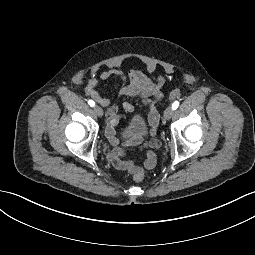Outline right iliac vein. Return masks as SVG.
Masks as SVG:
<instances>
[{
    "mask_svg": "<svg viewBox=\"0 0 255 255\" xmlns=\"http://www.w3.org/2000/svg\"><path fill=\"white\" fill-rule=\"evenodd\" d=\"M94 113L98 116V117H102L103 116V110L101 109V107L99 106H95L93 108Z\"/></svg>",
    "mask_w": 255,
    "mask_h": 255,
    "instance_id": "63e3f726",
    "label": "right iliac vein"
}]
</instances>
